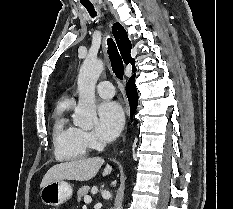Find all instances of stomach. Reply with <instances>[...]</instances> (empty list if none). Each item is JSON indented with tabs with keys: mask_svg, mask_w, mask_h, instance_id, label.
<instances>
[{
	"mask_svg": "<svg viewBox=\"0 0 233 209\" xmlns=\"http://www.w3.org/2000/svg\"><path fill=\"white\" fill-rule=\"evenodd\" d=\"M73 194L72 186L64 181H53L44 186L40 191V198L46 205L60 206L71 198Z\"/></svg>",
	"mask_w": 233,
	"mask_h": 209,
	"instance_id": "0dacf381",
	"label": "stomach"
}]
</instances>
